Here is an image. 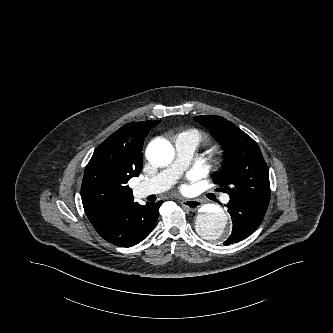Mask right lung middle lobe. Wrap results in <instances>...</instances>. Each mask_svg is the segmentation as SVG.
<instances>
[{"label":"right lung middle lobe","mask_w":333,"mask_h":333,"mask_svg":"<svg viewBox=\"0 0 333 333\" xmlns=\"http://www.w3.org/2000/svg\"><path fill=\"white\" fill-rule=\"evenodd\" d=\"M159 122L155 121L153 124H152V127H155Z\"/></svg>","instance_id":"obj_1"}]
</instances>
